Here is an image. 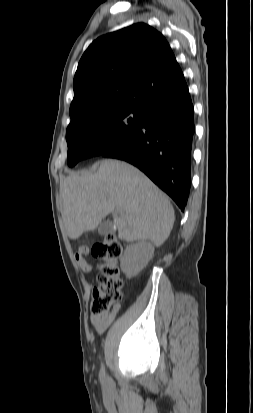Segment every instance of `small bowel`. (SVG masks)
Here are the masks:
<instances>
[{
  "mask_svg": "<svg viewBox=\"0 0 253 413\" xmlns=\"http://www.w3.org/2000/svg\"><path fill=\"white\" fill-rule=\"evenodd\" d=\"M89 255V248L86 246H81L75 254V260L79 268L84 272L91 271V265L87 261V256ZM120 310V305L115 304L111 310L103 316H90V323L93 329L98 333H103L114 321L118 312Z\"/></svg>",
  "mask_w": 253,
  "mask_h": 413,
  "instance_id": "1",
  "label": "small bowel"
}]
</instances>
